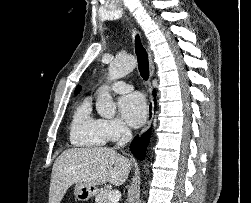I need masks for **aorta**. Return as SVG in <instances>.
I'll use <instances>...</instances> for the list:
<instances>
[{
  "mask_svg": "<svg viewBox=\"0 0 251 203\" xmlns=\"http://www.w3.org/2000/svg\"><path fill=\"white\" fill-rule=\"evenodd\" d=\"M136 65V59L132 56L116 58L108 68V80H116L129 74ZM96 110L98 114L105 118H112L116 113V105L108 91L101 89L97 101Z\"/></svg>",
  "mask_w": 251,
  "mask_h": 203,
  "instance_id": "aorta-1",
  "label": "aorta"
}]
</instances>
